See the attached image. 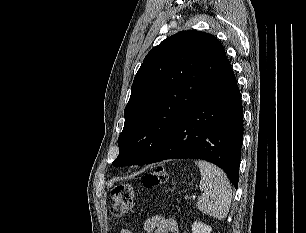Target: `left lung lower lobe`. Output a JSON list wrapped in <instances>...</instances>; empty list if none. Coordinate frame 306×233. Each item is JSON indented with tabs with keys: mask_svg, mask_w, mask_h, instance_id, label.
I'll return each mask as SVG.
<instances>
[{
	"mask_svg": "<svg viewBox=\"0 0 306 233\" xmlns=\"http://www.w3.org/2000/svg\"><path fill=\"white\" fill-rule=\"evenodd\" d=\"M243 107L229 60L146 164L173 158L216 164L238 187Z\"/></svg>",
	"mask_w": 306,
	"mask_h": 233,
	"instance_id": "0a47b994",
	"label": "left lung lower lobe"
}]
</instances>
